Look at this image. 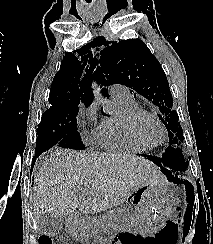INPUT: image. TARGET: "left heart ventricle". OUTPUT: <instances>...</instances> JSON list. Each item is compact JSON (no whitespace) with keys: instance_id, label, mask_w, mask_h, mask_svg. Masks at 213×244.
I'll use <instances>...</instances> for the list:
<instances>
[{"instance_id":"b2bd125f","label":"left heart ventricle","mask_w":213,"mask_h":244,"mask_svg":"<svg viewBox=\"0 0 213 244\" xmlns=\"http://www.w3.org/2000/svg\"><path fill=\"white\" fill-rule=\"evenodd\" d=\"M138 130L141 136L149 143H158L162 138V131L159 125L151 118H143L138 125Z\"/></svg>"}]
</instances>
